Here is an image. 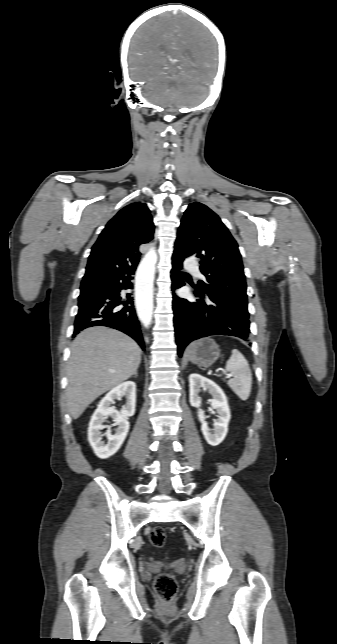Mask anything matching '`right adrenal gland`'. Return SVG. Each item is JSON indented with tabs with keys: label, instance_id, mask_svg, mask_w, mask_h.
<instances>
[{
	"label": "right adrenal gland",
	"instance_id": "right-adrenal-gland-1",
	"mask_svg": "<svg viewBox=\"0 0 337 644\" xmlns=\"http://www.w3.org/2000/svg\"><path fill=\"white\" fill-rule=\"evenodd\" d=\"M137 376H138V372H135L134 377L137 378Z\"/></svg>",
	"mask_w": 337,
	"mask_h": 644
}]
</instances>
